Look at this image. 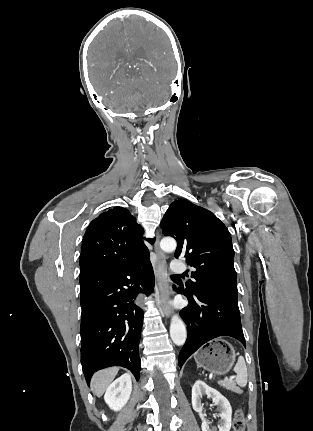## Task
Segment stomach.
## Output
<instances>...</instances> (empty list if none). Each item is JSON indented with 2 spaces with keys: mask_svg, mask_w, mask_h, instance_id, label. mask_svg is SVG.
<instances>
[{
  "mask_svg": "<svg viewBox=\"0 0 313 431\" xmlns=\"http://www.w3.org/2000/svg\"><path fill=\"white\" fill-rule=\"evenodd\" d=\"M235 357L234 348L228 342L216 339L197 352L194 359L199 367L224 375L232 368Z\"/></svg>",
  "mask_w": 313,
  "mask_h": 431,
  "instance_id": "obj_1",
  "label": "stomach"
}]
</instances>
